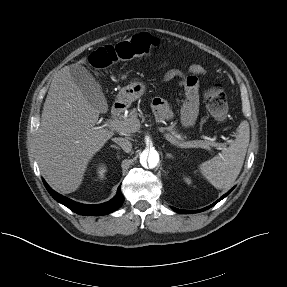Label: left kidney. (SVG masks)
Segmentation results:
<instances>
[{"label":"left kidney","mask_w":287,"mask_h":287,"mask_svg":"<svg viewBox=\"0 0 287 287\" xmlns=\"http://www.w3.org/2000/svg\"><path fill=\"white\" fill-rule=\"evenodd\" d=\"M185 181L190 184L191 183V180L189 178H185Z\"/></svg>","instance_id":"5707ae66"}]
</instances>
